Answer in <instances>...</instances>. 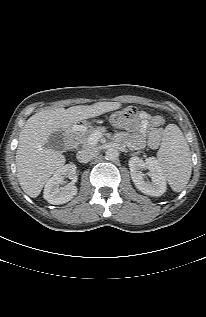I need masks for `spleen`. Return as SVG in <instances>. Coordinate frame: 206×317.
Wrapping results in <instances>:
<instances>
[{
  "label": "spleen",
  "instance_id": "spleen-1",
  "mask_svg": "<svg viewBox=\"0 0 206 317\" xmlns=\"http://www.w3.org/2000/svg\"><path fill=\"white\" fill-rule=\"evenodd\" d=\"M157 161L172 190L182 191L189 182L192 163L188 143L177 125L166 126Z\"/></svg>",
  "mask_w": 206,
  "mask_h": 317
}]
</instances>
